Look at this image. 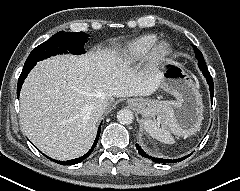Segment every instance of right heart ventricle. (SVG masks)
Listing matches in <instances>:
<instances>
[{"label": "right heart ventricle", "instance_id": "obj_1", "mask_svg": "<svg viewBox=\"0 0 240 191\" xmlns=\"http://www.w3.org/2000/svg\"><path fill=\"white\" fill-rule=\"evenodd\" d=\"M156 34H146L130 41L124 49V57L128 61H138L146 56L157 42Z\"/></svg>", "mask_w": 240, "mask_h": 191}]
</instances>
